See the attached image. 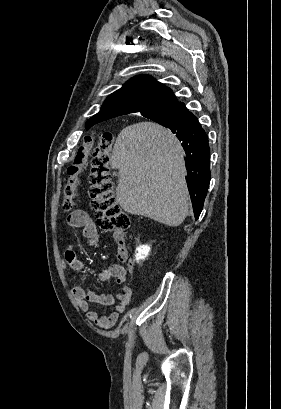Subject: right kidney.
Segmentation results:
<instances>
[{
  "mask_svg": "<svg viewBox=\"0 0 281 409\" xmlns=\"http://www.w3.org/2000/svg\"><path fill=\"white\" fill-rule=\"evenodd\" d=\"M137 249H150L149 245H140Z\"/></svg>",
  "mask_w": 281,
  "mask_h": 409,
  "instance_id": "ca27d5eb",
  "label": "right kidney"
}]
</instances>
